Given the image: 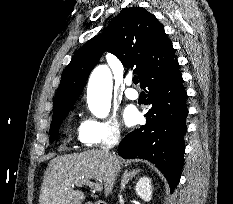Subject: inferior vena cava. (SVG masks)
<instances>
[{"label":"inferior vena cava","instance_id":"1","mask_svg":"<svg viewBox=\"0 0 233 204\" xmlns=\"http://www.w3.org/2000/svg\"><path fill=\"white\" fill-rule=\"evenodd\" d=\"M119 138H120V134L119 133H115L114 136L106 143H104L102 146H101V150L107 155L109 156L110 155V149H112L119 141ZM110 159V158H109ZM111 161V160H110ZM112 164V163H111ZM110 170L111 171H114L115 170V167L114 166H111L110 167Z\"/></svg>","mask_w":233,"mask_h":204}]
</instances>
